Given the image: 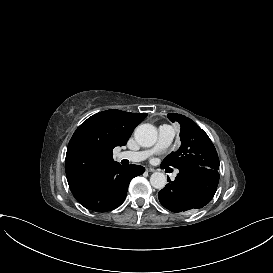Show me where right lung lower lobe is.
Wrapping results in <instances>:
<instances>
[{"mask_svg": "<svg viewBox=\"0 0 273 273\" xmlns=\"http://www.w3.org/2000/svg\"><path fill=\"white\" fill-rule=\"evenodd\" d=\"M144 171L145 168L142 166L124 167L115 163L72 193L75 199L89 210L111 211L124 202L131 179L143 174Z\"/></svg>", "mask_w": 273, "mask_h": 273, "instance_id": "1", "label": "right lung lower lobe"}]
</instances>
